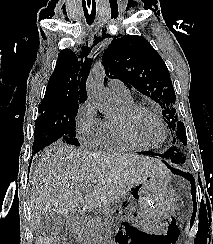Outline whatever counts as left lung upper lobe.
<instances>
[{
  "label": "left lung upper lobe",
  "mask_w": 213,
  "mask_h": 244,
  "mask_svg": "<svg viewBox=\"0 0 213 244\" xmlns=\"http://www.w3.org/2000/svg\"><path fill=\"white\" fill-rule=\"evenodd\" d=\"M102 61L108 77L120 79L158 103L164 121L171 130L173 142L179 140L187 144L184 124L179 120L174 105L176 96L170 73L161 56L145 38L137 35L117 36L104 51ZM170 149L174 163L183 165L185 156L175 147Z\"/></svg>",
  "instance_id": "1"
}]
</instances>
